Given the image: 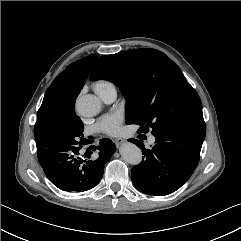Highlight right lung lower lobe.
<instances>
[{
  "label": "right lung lower lobe",
  "mask_w": 241,
  "mask_h": 241,
  "mask_svg": "<svg viewBox=\"0 0 241 241\" xmlns=\"http://www.w3.org/2000/svg\"><path fill=\"white\" fill-rule=\"evenodd\" d=\"M42 127L34 134L37 144V156L46 176L63 191L82 192L93 188L102 178L104 165L116 151L115 144L109 139L100 140L99 157L96 160H84L80 157L82 147H67L56 144H43L37 136Z\"/></svg>",
  "instance_id": "98d812e1"
}]
</instances>
